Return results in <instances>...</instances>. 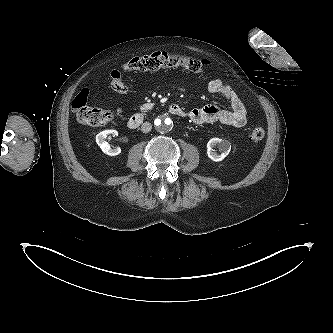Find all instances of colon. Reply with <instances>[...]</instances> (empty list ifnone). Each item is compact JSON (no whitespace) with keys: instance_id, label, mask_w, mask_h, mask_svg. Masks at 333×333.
Instances as JSON below:
<instances>
[{"instance_id":"colon-1","label":"colon","mask_w":333,"mask_h":333,"mask_svg":"<svg viewBox=\"0 0 333 333\" xmlns=\"http://www.w3.org/2000/svg\"><path fill=\"white\" fill-rule=\"evenodd\" d=\"M182 66L186 69L203 72L209 66V61L205 59H195L185 55L171 54L164 51L152 54L133 57L124 66V72L133 71H153L164 67ZM111 87L118 93H124L127 86L123 80L120 70H114L110 75ZM89 90L83 89L72 101V110L79 123L88 126H100L112 120L120 114L119 109H100L88 104ZM265 136V131L261 127L251 130L250 140L254 143L260 142Z\"/></svg>"}]
</instances>
